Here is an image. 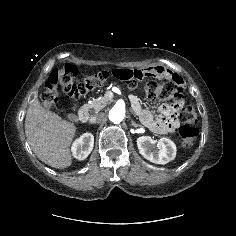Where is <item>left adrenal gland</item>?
Listing matches in <instances>:
<instances>
[{
    "label": "left adrenal gland",
    "mask_w": 236,
    "mask_h": 236,
    "mask_svg": "<svg viewBox=\"0 0 236 236\" xmlns=\"http://www.w3.org/2000/svg\"><path fill=\"white\" fill-rule=\"evenodd\" d=\"M131 124H132V126H134V127L140 126V125L136 124L134 121H132Z\"/></svg>",
    "instance_id": "1"
}]
</instances>
